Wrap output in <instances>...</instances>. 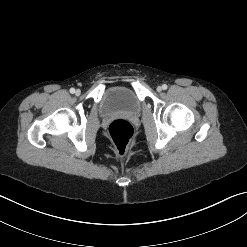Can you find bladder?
I'll use <instances>...</instances> for the list:
<instances>
[{"mask_svg": "<svg viewBox=\"0 0 247 247\" xmlns=\"http://www.w3.org/2000/svg\"><path fill=\"white\" fill-rule=\"evenodd\" d=\"M140 109V100L133 89L127 86L109 88L102 99L101 110L104 114H136Z\"/></svg>", "mask_w": 247, "mask_h": 247, "instance_id": "obj_1", "label": "bladder"}]
</instances>
